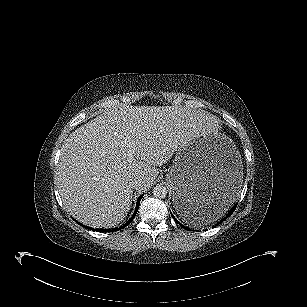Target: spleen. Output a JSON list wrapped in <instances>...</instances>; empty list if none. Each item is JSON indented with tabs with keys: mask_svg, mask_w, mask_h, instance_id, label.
<instances>
[{
	"mask_svg": "<svg viewBox=\"0 0 307 307\" xmlns=\"http://www.w3.org/2000/svg\"><path fill=\"white\" fill-rule=\"evenodd\" d=\"M226 211H227V208L202 211L197 215H192L191 216L192 218L189 219V220L184 218V221L187 222L188 224L192 225V226L207 224V223H211V222L216 221Z\"/></svg>",
	"mask_w": 307,
	"mask_h": 307,
	"instance_id": "spleen-1",
	"label": "spleen"
}]
</instances>
